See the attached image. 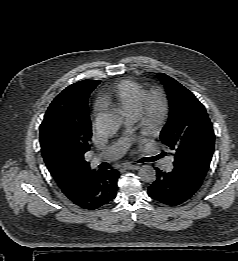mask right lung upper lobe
<instances>
[{
	"label": "right lung upper lobe",
	"mask_w": 238,
	"mask_h": 261,
	"mask_svg": "<svg viewBox=\"0 0 238 261\" xmlns=\"http://www.w3.org/2000/svg\"><path fill=\"white\" fill-rule=\"evenodd\" d=\"M99 83L100 81L95 80H82L68 86L75 95L71 116L51 121L48 125L63 155L55 161L45 163L68 198L76 196L95 172L84 160V153L90 148L89 140L92 136L88 97Z\"/></svg>",
	"instance_id": "right-lung-upper-lobe-1"
}]
</instances>
